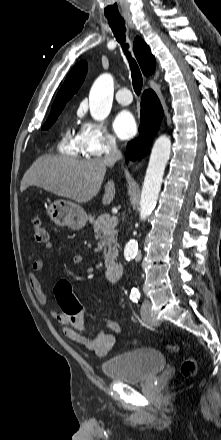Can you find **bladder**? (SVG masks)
<instances>
[{
  "mask_svg": "<svg viewBox=\"0 0 221 440\" xmlns=\"http://www.w3.org/2000/svg\"><path fill=\"white\" fill-rule=\"evenodd\" d=\"M166 365L165 356L153 348H141L114 356L101 363L104 375L123 384L145 382Z\"/></svg>",
  "mask_w": 221,
  "mask_h": 440,
  "instance_id": "1",
  "label": "bladder"
}]
</instances>
